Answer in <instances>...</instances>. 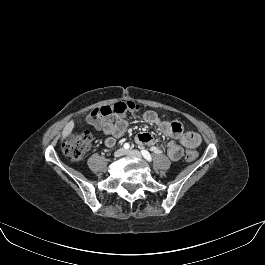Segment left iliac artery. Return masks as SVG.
<instances>
[{
	"label": "left iliac artery",
	"mask_w": 265,
	"mask_h": 265,
	"mask_svg": "<svg viewBox=\"0 0 265 265\" xmlns=\"http://www.w3.org/2000/svg\"><path fill=\"white\" fill-rule=\"evenodd\" d=\"M141 153H142L143 157H144L147 161L151 162L152 157H151L150 153H149L147 150H141Z\"/></svg>",
	"instance_id": "44dca946"
}]
</instances>
